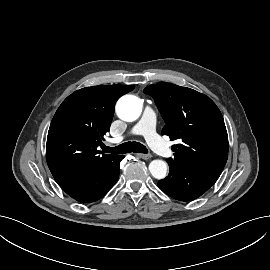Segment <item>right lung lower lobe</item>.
<instances>
[{
	"label": "right lung lower lobe",
	"instance_id": "1",
	"mask_svg": "<svg viewBox=\"0 0 270 270\" xmlns=\"http://www.w3.org/2000/svg\"><path fill=\"white\" fill-rule=\"evenodd\" d=\"M123 158L120 155L101 170L60 186L70 197L81 203L94 202L102 198L116 183Z\"/></svg>",
	"mask_w": 270,
	"mask_h": 270
}]
</instances>
